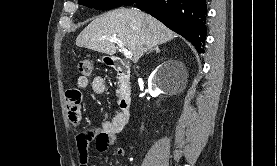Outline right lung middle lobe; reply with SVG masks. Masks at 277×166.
I'll list each match as a JSON object with an SVG mask.
<instances>
[{
  "label": "right lung middle lobe",
  "instance_id": "1",
  "mask_svg": "<svg viewBox=\"0 0 277 166\" xmlns=\"http://www.w3.org/2000/svg\"><path fill=\"white\" fill-rule=\"evenodd\" d=\"M126 0H79V4L89 8L109 10L121 6Z\"/></svg>",
  "mask_w": 277,
  "mask_h": 166
}]
</instances>
